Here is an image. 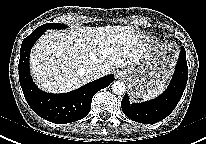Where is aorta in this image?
Segmentation results:
<instances>
[{"instance_id":"obj_1","label":"aorta","mask_w":206,"mask_h":144,"mask_svg":"<svg viewBox=\"0 0 206 144\" xmlns=\"http://www.w3.org/2000/svg\"><path fill=\"white\" fill-rule=\"evenodd\" d=\"M112 91L116 94V95H123L126 91V86L122 81H115L112 84Z\"/></svg>"}]
</instances>
